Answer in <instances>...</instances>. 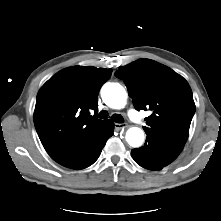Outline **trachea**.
<instances>
[{
	"instance_id": "3493384b",
	"label": "trachea",
	"mask_w": 221,
	"mask_h": 221,
	"mask_svg": "<svg viewBox=\"0 0 221 221\" xmlns=\"http://www.w3.org/2000/svg\"><path fill=\"white\" fill-rule=\"evenodd\" d=\"M98 117L100 119H107L108 118V112L105 111V110H102L99 113ZM111 118L116 123H123L124 122L123 117L120 114H113Z\"/></svg>"
}]
</instances>
